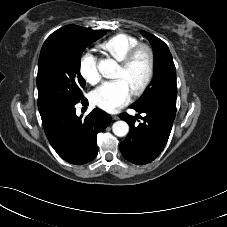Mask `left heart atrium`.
<instances>
[{
    "label": "left heart atrium",
    "instance_id": "39dd6f15",
    "mask_svg": "<svg viewBox=\"0 0 227 227\" xmlns=\"http://www.w3.org/2000/svg\"><path fill=\"white\" fill-rule=\"evenodd\" d=\"M131 90L120 79L105 82L94 90L90 99L97 107L109 113L118 112L130 99Z\"/></svg>",
    "mask_w": 227,
    "mask_h": 227
}]
</instances>
